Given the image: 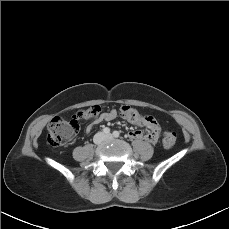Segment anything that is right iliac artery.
I'll use <instances>...</instances> for the list:
<instances>
[{"mask_svg":"<svg viewBox=\"0 0 229 229\" xmlns=\"http://www.w3.org/2000/svg\"><path fill=\"white\" fill-rule=\"evenodd\" d=\"M103 132H104L105 134H110V129H109L108 127H105V128L103 129Z\"/></svg>","mask_w":229,"mask_h":229,"instance_id":"82829eb1","label":"right iliac artery"}]
</instances>
